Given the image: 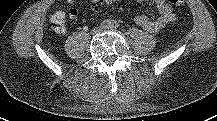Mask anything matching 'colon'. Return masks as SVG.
<instances>
[{
  "instance_id": "1",
  "label": "colon",
  "mask_w": 217,
  "mask_h": 121,
  "mask_svg": "<svg viewBox=\"0 0 217 121\" xmlns=\"http://www.w3.org/2000/svg\"><path fill=\"white\" fill-rule=\"evenodd\" d=\"M171 5L182 6L185 0H168ZM49 24L54 32L63 34L66 31V15L64 11L58 10L52 13L49 17Z\"/></svg>"
}]
</instances>
